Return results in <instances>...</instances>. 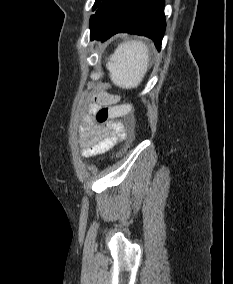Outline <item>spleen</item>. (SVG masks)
I'll use <instances>...</instances> for the list:
<instances>
[{"label":"spleen","instance_id":"3e777b00","mask_svg":"<svg viewBox=\"0 0 233 284\" xmlns=\"http://www.w3.org/2000/svg\"><path fill=\"white\" fill-rule=\"evenodd\" d=\"M106 67L115 85L123 89L135 88L149 67L148 46L141 41L122 43L110 56Z\"/></svg>","mask_w":233,"mask_h":284}]
</instances>
